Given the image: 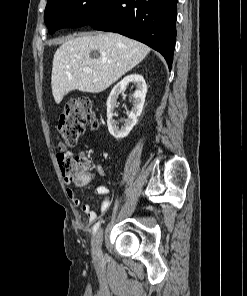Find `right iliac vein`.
Returning a JSON list of instances; mask_svg holds the SVG:
<instances>
[{
	"instance_id": "1",
	"label": "right iliac vein",
	"mask_w": 247,
	"mask_h": 296,
	"mask_svg": "<svg viewBox=\"0 0 247 296\" xmlns=\"http://www.w3.org/2000/svg\"><path fill=\"white\" fill-rule=\"evenodd\" d=\"M103 238L102 230H98L91 241L92 254L95 259L101 256V243Z\"/></svg>"
}]
</instances>
